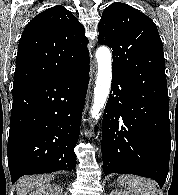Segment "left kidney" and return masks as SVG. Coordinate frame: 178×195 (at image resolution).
<instances>
[{
	"label": "left kidney",
	"mask_w": 178,
	"mask_h": 195,
	"mask_svg": "<svg viewBox=\"0 0 178 195\" xmlns=\"http://www.w3.org/2000/svg\"><path fill=\"white\" fill-rule=\"evenodd\" d=\"M110 195H131L129 192L125 191V190H113Z\"/></svg>",
	"instance_id": "obj_1"
}]
</instances>
